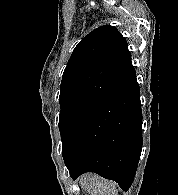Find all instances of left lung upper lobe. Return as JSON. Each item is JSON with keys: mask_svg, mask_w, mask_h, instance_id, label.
Segmentation results:
<instances>
[{"mask_svg": "<svg viewBox=\"0 0 178 195\" xmlns=\"http://www.w3.org/2000/svg\"><path fill=\"white\" fill-rule=\"evenodd\" d=\"M135 77L127 41L114 26L94 29L79 42L61 81L62 151Z\"/></svg>", "mask_w": 178, "mask_h": 195, "instance_id": "left-lung-upper-lobe-1", "label": "left lung upper lobe"}]
</instances>
